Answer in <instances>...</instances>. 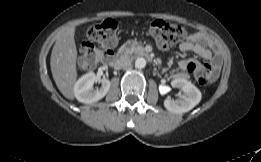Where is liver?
Returning a JSON list of instances; mask_svg holds the SVG:
<instances>
[{"mask_svg": "<svg viewBox=\"0 0 261 162\" xmlns=\"http://www.w3.org/2000/svg\"><path fill=\"white\" fill-rule=\"evenodd\" d=\"M75 26H70L58 33L53 46L50 66L53 79L67 99H74V84L77 79L75 44Z\"/></svg>", "mask_w": 261, "mask_h": 162, "instance_id": "obj_1", "label": "liver"}]
</instances>
